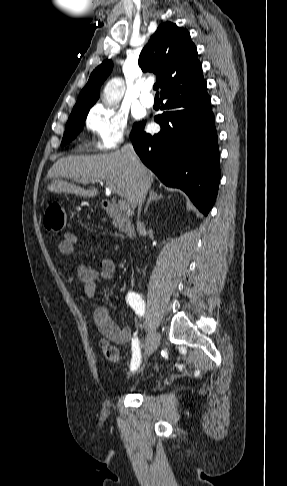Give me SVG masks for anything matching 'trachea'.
Segmentation results:
<instances>
[{
	"instance_id": "1",
	"label": "trachea",
	"mask_w": 287,
	"mask_h": 486,
	"mask_svg": "<svg viewBox=\"0 0 287 486\" xmlns=\"http://www.w3.org/2000/svg\"><path fill=\"white\" fill-rule=\"evenodd\" d=\"M158 88H159V87H158V84H157V83H155V84H154V86H153V89L157 91V90H158ZM157 94H158V92H157Z\"/></svg>"
}]
</instances>
